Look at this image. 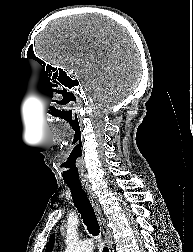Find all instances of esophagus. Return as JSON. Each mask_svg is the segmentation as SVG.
Segmentation results:
<instances>
[{"label": "esophagus", "instance_id": "34e87169", "mask_svg": "<svg viewBox=\"0 0 193 252\" xmlns=\"http://www.w3.org/2000/svg\"><path fill=\"white\" fill-rule=\"evenodd\" d=\"M83 188L94 208L101 232L104 236V240L106 243V246L108 248L109 252H113V241H112V235L109 230V228L106 225V222L104 220L103 214H102V208L98 202V199L96 197V194L94 193L92 186L90 184H83Z\"/></svg>", "mask_w": 193, "mask_h": 252}]
</instances>
